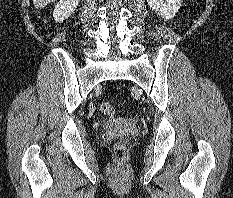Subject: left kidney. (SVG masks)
<instances>
[{"instance_id": "obj_1", "label": "left kidney", "mask_w": 233, "mask_h": 198, "mask_svg": "<svg viewBox=\"0 0 233 198\" xmlns=\"http://www.w3.org/2000/svg\"><path fill=\"white\" fill-rule=\"evenodd\" d=\"M181 2L182 0H147L150 8L166 20L175 17L181 7Z\"/></svg>"}]
</instances>
